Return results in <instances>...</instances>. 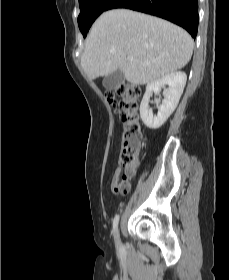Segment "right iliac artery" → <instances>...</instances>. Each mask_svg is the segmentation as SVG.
I'll return each instance as SVG.
<instances>
[{
	"instance_id": "right-iliac-artery-1",
	"label": "right iliac artery",
	"mask_w": 229,
	"mask_h": 280,
	"mask_svg": "<svg viewBox=\"0 0 229 280\" xmlns=\"http://www.w3.org/2000/svg\"><path fill=\"white\" fill-rule=\"evenodd\" d=\"M118 222H119V215H116L114 220H113V231L115 232L118 226Z\"/></svg>"
}]
</instances>
